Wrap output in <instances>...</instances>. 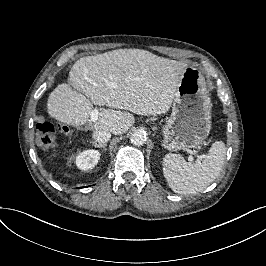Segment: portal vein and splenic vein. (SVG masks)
I'll use <instances>...</instances> for the list:
<instances>
[{"label":"portal vein and splenic vein","mask_w":266,"mask_h":266,"mask_svg":"<svg viewBox=\"0 0 266 266\" xmlns=\"http://www.w3.org/2000/svg\"><path fill=\"white\" fill-rule=\"evenodd\" d=\"M98 115H99V110L98 109L95 108L94 110H92L91 113H90L91 121L92 122L97 121ZM202 158H205V155H199V156H197V162L200 163V160ZM188 160L189 161H193V156H189Z\"/></svg>","instance_id":"portal-vein-and-splenic-vein-1"}]
</instances>
